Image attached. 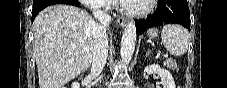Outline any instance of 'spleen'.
<instances>
[{
	"label": "spleen",
	"mask_w": 227,
	"mask_h": 88,
	"mask_svg": "<svg viewBox=\"0 0 227 88\" xmlns=\"http://www.w3.org/2000/svg\"><path fill=\"white\" fill-rule=\"evenodd\" d=\"M162 42L170 54L182 56L188 50L189 33L179 25L168 24L162 29Z\"/></svg>",
	"instance_id": "obj_1"
}]
</instances>
